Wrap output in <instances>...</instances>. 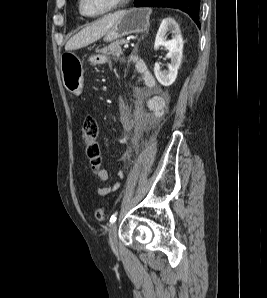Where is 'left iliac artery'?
<instances>
[{
  "mask_svg": "<svg viewBox=\"0 0 267 298\" xmlns=\"http://www.w3.org/2000/svg\"><path fill=\"white\" fill-rule=\"evenodd\" d=\"M117 212H115L112 216H111V218H110V223L112 224V223H114L115 221H116V218H117Z\"/></svg>",
  "mask_w": 267,
  "mask_h": 298,
  "instance_id": "1",
  "label": "left iliac artery"
}]
</instances>
